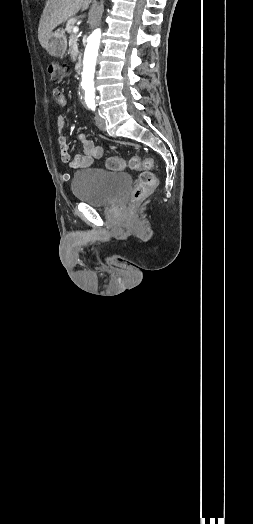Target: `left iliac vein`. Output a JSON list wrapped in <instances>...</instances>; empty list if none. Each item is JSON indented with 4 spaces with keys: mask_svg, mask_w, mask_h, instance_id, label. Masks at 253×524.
I'll return each instance as SVG.
<instances>
[{
    "mask_svg": "<svg viewBox=\"0 0 253 524\" xmlns=\"http://www.w3.org/2000/svg\"><path fill=\"white\" fill-rule=\"evenodd\" d=\"M95 121H96V125L97 127L102 130V131H105L107 129V121L106 119L101 116L100 114H96L95 115Z\"/></svg>",
    "mask_w": 253,
    "mask_h": 524,
    "instance_id": "1",
    "label": "left iliac vein"
}]
</instances>
